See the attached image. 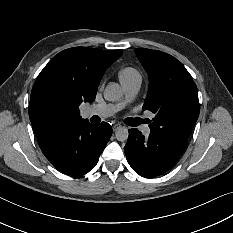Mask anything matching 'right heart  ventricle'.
Masks as SVG:
<instances>
[{
  "label": "right heart ventricle",
  "mask_w": 233,
  "mask_h": 233,
  "mask_svg": "<svg viewBox=\"0 0 233 233\" xmlns=\"http://www.w3.org/2000/svg\"><path fill=\"white\" fill-rule=\"evenodd\" d=\"M118 77L121 84H134L142 82V75L140 71L131 65L122 67L118 72Z\"/></svg>",
  "instance_id": "e07e8e85"
}]
</instances>
